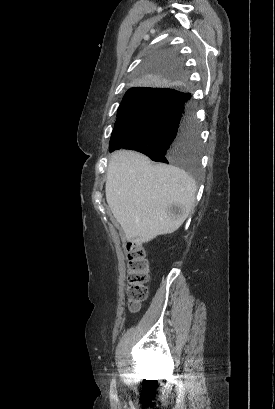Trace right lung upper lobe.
Returning <instances> with one entry per match:
<instances>
[{"mask_svg": "<svg viewBox=\"0 0 275 409\" xmlns=\"http://www.w3.org/2000/svg\"><path fill=\"white\" fill-rule=\"evenodd\" d=\"M152 91H161V90H136V87H134V88L129 89L124 97L131 95V94H135V93L152 92Z\"/></svg>", "mask_w": 275, "mask_h": 409, "instance_id": "right-lung-upper-lobe-1", "label": "right lung upper lobe"}]
</instances>
